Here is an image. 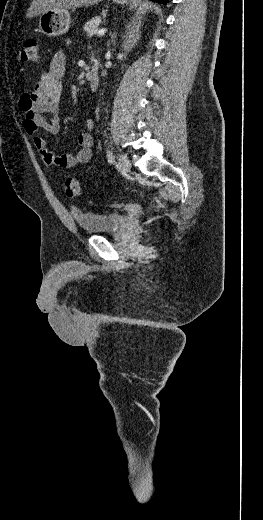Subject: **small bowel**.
Returning <instances> with one entry per match:
<instances>
[{
  "label": "small bowel",
  "instance_id": "c3829d8e",
  "mask_svg": "<svg viewBox=\"0 0 263 520\" xmlns=\"http://www.w3.org/2000/svg\"><path fill=\"white\" fill-rule=\"evenodd\" d=\"M65 68L66 56L64 52L58 51L53 55L49 69L41 74L32 91L20 97L19 106L24 113L23 128L32 138L42 160L48 165L72 168L89 162L93 156V120L87 119L84 122L83 130L78 137L81 148L76 154H54L48 149L45 138L39 134L40 130L50 134L59 131L58 107Z\"/></svg>",
  "mask_w": 263,
  "mask_h": 520
}]
</instances>
